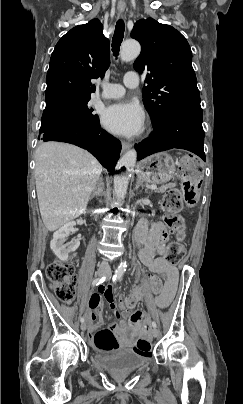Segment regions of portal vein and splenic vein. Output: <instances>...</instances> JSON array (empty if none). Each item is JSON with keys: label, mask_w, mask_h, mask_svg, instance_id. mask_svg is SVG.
<instances>
[{"label": "portal vein and splenic vein", "mask_w": 243, "mask_h": 404, "mask_svg": "<svg viewBox=\"0 0 243 404\" xmlns=\"http://www.w3.org/2000/svg\"><path fill=\"white\" fill-rule=\"evenodd\" d=\"M151 190H157V186H150Z\"/></svg>", "instance_id": "1"}]
</instances>
